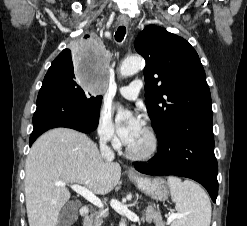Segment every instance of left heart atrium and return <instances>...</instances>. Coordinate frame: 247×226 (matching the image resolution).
I'll return each mask as SVG.
<instances>
[{"instance_id": "left-heart-atrium-1", "label": "left heart atrium", "mask_w": 247, "mask_h": 226, "mask_svg": "<svg viewBox=\"0 0 247 226\" xmlns=\"http://www.w3.org/2000/svg\"><path fill=\"white\" fill-rule=\"evenodd\" d=\"M143 129L142 120L137 116H133L120 128L119 134L123 142L129 145L138 137Z\"/></svg>"}]
</instances>
